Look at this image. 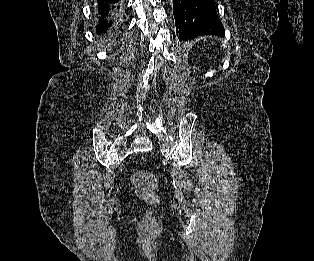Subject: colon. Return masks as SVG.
<instances>
[{"label": "colon", "mask_w": 314, "mask_h": 261, "mask_svg": "<svg viewBox=\"0 0 314 261\" xmlns=\"http://www.w3.org/2000/svg\"><path fill=\"white\" fill-rule=\"evenodd\" d=\"M132 183L137 195L150 205L159 203V197L156 194V179L154 175L146 170L135 171L131 176Z\"/></svg>", "instance_id": "colon-1"}]
</instances>
